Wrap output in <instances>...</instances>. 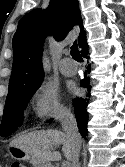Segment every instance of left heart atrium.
<instances>
[{"label": "left heart atrium", "mask_w": 125, "mask_h": 167, "mask_svg": "<svg viewBox=\"0 0 125 167\" xmlns=\"http://www.w3.org/2000/svg\"><path fill=\"white\" fill-rule=\"evenodd\" d=\"M72 91H73L74 93H76V92H77V89H76L75 87H73V88H72Z\"/></svg>", "instance_id": "1"}]
</instances>
